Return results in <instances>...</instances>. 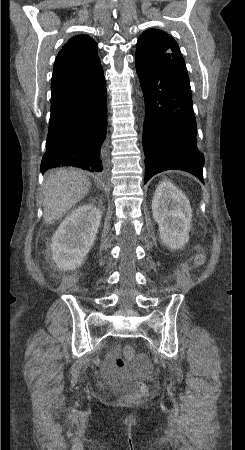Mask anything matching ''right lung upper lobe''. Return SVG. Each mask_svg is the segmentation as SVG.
Listing matches in <instances>:
<instances>
[{
    "instance_id": "cb5924a9",
    "label": "right lung upper lobe",
    "mask_w": 245,
    "mask_h": 450,
    "mask_svg": "<svg viewBox=\"0 0 245 450\" xmlns=\"http://www.w3.org/2000/svg\"><path fill=\"white\" fill-rule=\"evenodd\" d=\"M100 67L96 42L85 35L71 38L55 60L51 100L83 82Z\"/></svg>"
}]
</instances>
